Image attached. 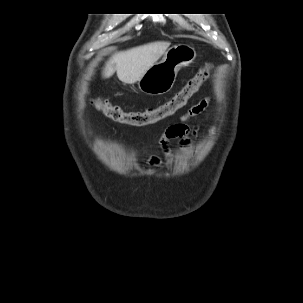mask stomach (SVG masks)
<instances>
[{
	"instance_id": "obj_1",
	"label": "stomach",
	"mask_w": 303,
	"mask_h": 303,
	"mask_svg": "<svg viewBox=\"0 0 303 303\" xmlns=\"http://www.w3.org/2000/svg\"><path fill=\"white\" fill-rule=\"evenodd\" d=\"M196 57L193 47L177 44L167 49L162 60L152 65L138 81L139 90L147 95L169 92L179 69L190 65Z\"/></svg>"
}]
</instances>
